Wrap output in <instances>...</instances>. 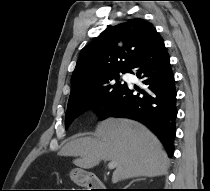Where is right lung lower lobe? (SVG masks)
I'll use <instances>...</instances> for the list:
<instances>
[{"label": "right lung lower lobe", "instance_id": "right-lung-lower-lobe-1", "mask_svg": "<svg viewBox=\"0 0 210 191\" xmlns=\"http://www.w3.org/2000/svg\"><path fill=\"white\" fill-rule=\"evenodd\" d=\"M128 73L136 74L145 87L136 89L139 93L135 94L126 85L99 119L125 117L144 123L158 136L171 157L176 134V89L169 55L160 35L133 62Z\"/></svg>", "mask_w": 210, "mask_h": 191}]
</instances>
